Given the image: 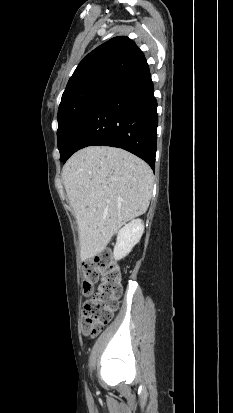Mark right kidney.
<instances>
[{
	"mask_svg": "<svg viewBox=\"0 0 233 413\" xmlns=\"http://www.w3.org/2000/svg\"><path fill=\"white\" fill-rule=\"evenodd\" d=\"M143 232L144 223L141 219L132 220L121 228L118 231L117 241L114 247V259L120 260L128 255L132 248L140 241Z\"/></svg>",
	"mask_w": 233,
	"mask_h": 413,
	"instance_id": "obj_1",
	"label": "right kidney"
}]
</instances>
